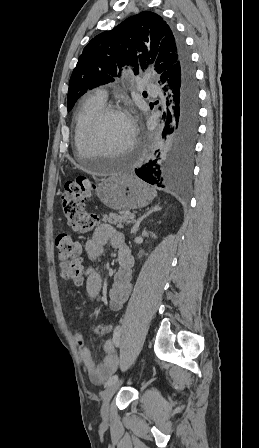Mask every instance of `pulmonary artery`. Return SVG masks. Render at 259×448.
Instances as JSON below:
<instances>
[{
	"label": "pulmonary artery",
	"instance_id": "1",
	"mask_svg": "<svg viewBox=\"0 0 259 448\" xmlns=\"http://www.w3.org/2000/svg\"><path fill=\"white\" fill-rule=\"evenodd\" d=\"M94 93L102 101H106L108 98V91L103 86L96 88Z\"/></svg>",
	"mask_w": 259,
	"mask_h": 448
}]
</instances>
